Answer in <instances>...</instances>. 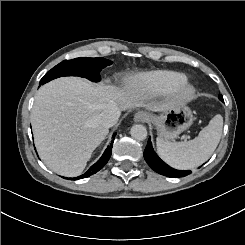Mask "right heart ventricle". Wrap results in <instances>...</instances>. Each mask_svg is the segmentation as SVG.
<instances>
[{"instance_id":"right-heart-ventricle-1","label":"right heart ventricle","mask_w":245,"mask_h":245,"mask_svg":"<svg viewBox=\"0 0 245 245\" xmlns=\"http://www.w3.org/2000/svg\"><path fill=\"white\" fill-rule=\"evenodd\" d=\"M147 83L155 90H169L186 82L184 74L172 71H156L145 75Z\"/></svg>"}]
</instances>
